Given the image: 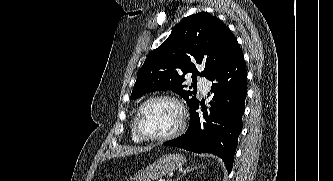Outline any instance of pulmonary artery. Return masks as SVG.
Wrapping results in <instances>:
<instances>
[{
	"instance_id": "obj_1",
	"label": "pulmonary artery",
	"mask_w": 333,
	"mask_h": 181,
	"mask_svg": "<svg viewBox=\"0 0 333 181\" xmlns=\"http://www.w3.org/2000/svg\"><path fill=\"white\" fill-rule=\"evenodd\" d=\"M198 85H199V88H200L204 93H206L207 90L209 89V82H208V80H207L205 77H201V78H199V80H198Z\"/></svg>"
}]
</instances>
